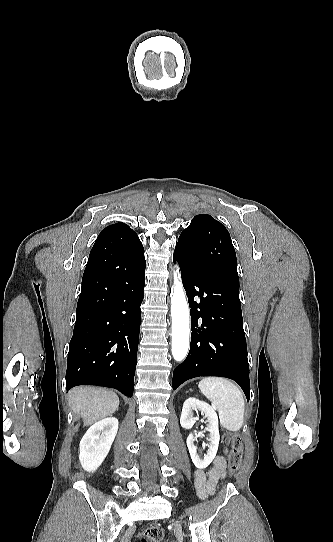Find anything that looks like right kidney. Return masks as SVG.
Here are the masks:
<instances>
[{
  "label": "right kidney",
  "mask_w": 333,
  "mask_h": 542,
  "mask_svg": "<svg viewBox=\"0 0 333 542\" xmlns=\"http://www.w3.org/2000/svg\"><path fill=\"white\" fill-rule=\"evenodd\" d=\"M117 418H104L87 430L80 442V464L86 472H95L104 462L118 432Z\"/></svg>",
  "instance_id": "obj_1"
}]
</instances>
